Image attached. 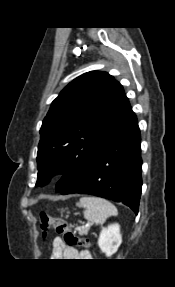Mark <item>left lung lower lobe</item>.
I'll list each match as a JSON object with an SVG mask.
<instances>
[{"instance_id":"1","label":"left lung lower lobe","mask_w":175,"mask_h":287,"mask_svg":"<svg viewBox=\"0 0 175 287\" xmlns=\"http://www.w3.org/2000/svg\"><path fill=\"white\" fill-rule=\"evenodd\" d=\"M140 130L136 115L98 149L85 172L60 191L90 194L129 206L136 214L141 196Z\"/></svg>"}]
</instances>
